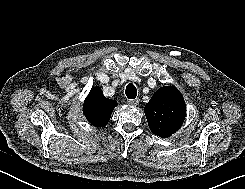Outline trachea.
Wrapping results in <instances>:
<instances>
[{"label": "trachea", "mask_w": 245, "mask_h": 189, "mask_svg": "<svg viewBox=\"0 0 245 189\" xmlns=\"http://www.w3.org/2000/svg\"><path fill=\"white\" fill-rule=\"evenodd\" d=\"M125 94H126V96H127L129 99H135L136 96H137V89H136L135 85L132 84V83H129V84L126 86Z\"/></svg>", "instance_id": "trachea-1"}]
</instances>
